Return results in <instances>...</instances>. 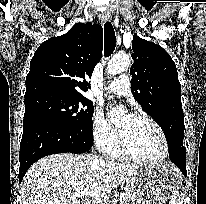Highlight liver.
I'll list each match as a JSON object with an SVG mask.
<instances>
[{
    "label": "liver",
    "instance_id": "obj_1",
    "mask_svg": "<svg viewBox=\"0 0 206 204\" xmlns=\"http://www.w3.org/2000/svg\"><path fill=\"white\" fill-rule=\"evenodd\" d=\"M140 167L90 154L50 155L34 163L23 178V204H81L82 196H76V190L109 194L129 181Z\"/></svg>",
    "mask_w": 206,
    "mask_h": 204
}]
</instances>
